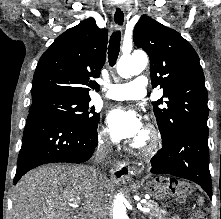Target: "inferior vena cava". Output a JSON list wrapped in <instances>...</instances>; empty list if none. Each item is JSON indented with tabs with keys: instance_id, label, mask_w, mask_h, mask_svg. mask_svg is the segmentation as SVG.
Listing matches in <instances>:
<instances>
[{
	"instance_id": "1",
	"label": "inferior vena cava",
	"mask_w": 221,
	"mask_h": 219,
	"mask_svg": "<svg viewBox=\"0 0 221 219\" xmlns=\"http://www.w3.org/2000/svg\"><path fill=\"white\" fill-rule=\"evenodd\" d=\"M109 152H111L110 142L107 139H100L96 151V161L97 162L102 161ZM92 173L94 175L93 176L94 180H99L100 178L103 177V175L96 169L92 168ZM96 189L98 190L99 188L97 187ZM105 215H106L105 212L101 208H99L98 206L93 207L91 214L92 219H102L105 217Z\"/></svg>"
}]
</instances>
